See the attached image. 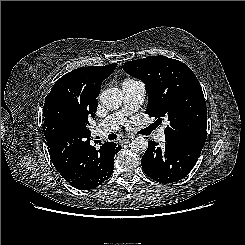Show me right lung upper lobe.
<instances>
[{
    "label": "right lung upper lobe",
    "instance_id": "obj_1",
    "mask_svg": "<svg viewBox=\"0 0 245 245\" xmlns=\"http://www.w3.org/2000/svg\"><path fill=\"white\" fill-rule=\"evenodd\" d=\"M116 66L81 67L57 80L43 106L46 141L66 138L69 144L80 146L91 140L86 126L95 117L102 81Z\"/></svg>",
    "mask_w": 245,
    "mask_h": 245
}]
</instances>
